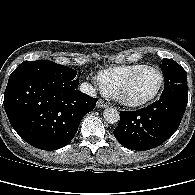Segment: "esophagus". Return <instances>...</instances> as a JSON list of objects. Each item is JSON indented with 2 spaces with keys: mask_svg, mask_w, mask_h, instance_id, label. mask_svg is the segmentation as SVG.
<instances>
[{
  "mask_svg": "<svg viewBox=\"0 0 195 195\" xmlns=\"http://www.w3.org/2000/svg\"><path fill=\"white\" fill-rule=\"evenodd\" d=\"M97 108H106L108 105L102 99H99L96 104Z\"/></svg>",
  "mask_w": 195,
  "mask_h": 195,
  "instance_id": "esophagus-1",
  "label": "esophagus"
}]
</instances>
